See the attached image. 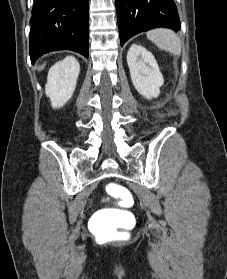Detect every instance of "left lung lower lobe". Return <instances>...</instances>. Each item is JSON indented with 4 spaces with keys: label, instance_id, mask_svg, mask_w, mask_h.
<instances>
[{
    "label": "left lung lower lobe",
    "instance_id": "obj_1",
    "mask_svg": "<svg viewBox=\"0 0 227 279\" xmlns=\"http://www.w3.org/2000/svg\"><path fill=\"white\" fill-rule=\"evenodd\" d=\"M121 46L132 36L158 27L177 32L180 20L174 0H115Z\"/></svg>",
    "mask_w": 227,
    "mask_h": 279
}]
</instances>
